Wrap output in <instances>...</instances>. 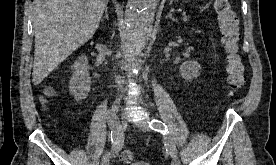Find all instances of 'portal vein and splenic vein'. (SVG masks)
<instances>
[{"instance_id":"18ae733b","label":"portal vein and splenic vein","mask_w":276,"mask_h":165,"mask_svg":"<svg viewBox=\"0 0 276 165\" xmlns=\"http://www.w3.org/2000/svg\"><path fill=\"white\" fill-rule=\"evenodd\" d=\"M182 15H183V20H184V21L188 20V16L186 15L185 12H184Z\"/></svg>"}]
</instances>
